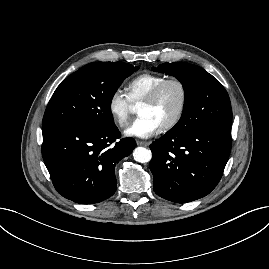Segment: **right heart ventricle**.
<instances>
[{"label": "right heart ventricle", "mask_w": 269, "mask_h": 269, "mask_svg": "<svg viewBox=\"0 0 269 269\" xmlns=\"http://www.w3.org/2000/svg\"><path fill=\"white\" fill-rule=\"evenodd\" d=\"M166 76L153 73H142L131 79L126 85V94L131 103L141 102Z\"/></svg>", "instance_id": "1"}]
</instances>
